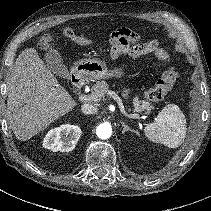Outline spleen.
<instances>
[{"label": "spleen", "mask_w": 211, "mask_h": 211, "mask_svg": "<svg viewBox=\"0 0 211 211\" xmlns=\"http://www.w3.org/2000/svg\"><path fill=\"white\" fill-rule=\"evenodd\" d=\"M186 119L175 104L165 106L154 123L145 126L144 134L148 140L169 148L180 146L186 136Z\"/></svg>", "instance_id": "1"}]
</instances>
